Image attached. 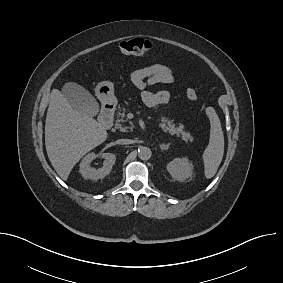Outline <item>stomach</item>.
<instances>
[{"mask_svg": "<svg viewBox=\"0 0 283 283\" xmlns=\"http://www.w3.org/2000/svg\"><path fill=\"white\" fill-rule=\"evenodd\" d=\"M97 98L104 105H112L116 103V98L114 95V84L111 81L100 82L95 89Z\"/></svg>", "mask_w": 283, "mask_h": 283, "instance_id": "stomach-1", "label": "stomach"}]
</instances>
